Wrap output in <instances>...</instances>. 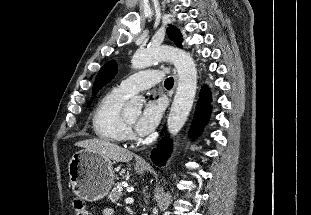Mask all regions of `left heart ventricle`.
<instances>
[{"label":"left heart ventricle","mask_w":311,"mask_h":215,"mask_svg":"<svg viewBox=\"0 0 311 215\" xmlns=\"http://www.w3.org/2000/svg\"><path fill=\"white\" fill-rule=\"evenodd\" d=\"M138 115H139V112L134 111V112L126 114L125 117L127 118L128 121L133 123L137 119Z\"/></svg>","instance_id":"1"}]
</instances>
